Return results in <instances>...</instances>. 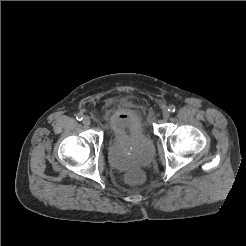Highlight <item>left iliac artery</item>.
Returning <instances> with one entry per match:
<instances>
[{"mask_svg": "<svg viewBox=\"0 0 246 246\" xmlns=\"http://www.w3.org/2000/svg\"><path fill=\"white\" fill-rule=\"evenodd\" d=\"M168 110L170 112H175L176 111V107L174 105H170L169 108H168Z\"/></svg>", "mask_w": 246, "mask_h": 246, "instance_id": "44dca946", "label": "left iliac artery"}]
</instances>
